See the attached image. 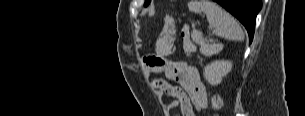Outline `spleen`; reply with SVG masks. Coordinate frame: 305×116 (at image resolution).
I'll return each mask as SVG.
<instances>
[{"label": "spleen", "instance_id": "3e777b00", "mask_svg": "<svg viewBox=\"0 0 305 116\" xmlns=\"http://www.w3.org/2000/svg\"><path fill=\"white\" fill-rule=\"evenodd\" d=\"M188 8L194 13H204L213 34L228 39L242 41L244 33L236 20L214 2L208 0L190 1Z\"/></svg>", "mask_w": 305, "mask_h": 116}]
</instances>
